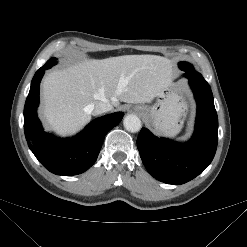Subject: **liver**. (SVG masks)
Instances as JSON below:
<instances>
[{
    "instance_id": "liver-1",
    "label": "liver",
    "mask_w": 247,
    "mask_h": 247,
    "mask_svg": "<svg viewBox=\"0 0 247 247\" xmlns=\"http://www.w3.org/2000/svg\"><path fill=\"white\" fill-rule=\"evenodd\" d=\"M171 61L157 55L89 59L50 72L42 84V116L61 136L78 132L91 119L89 104L150 103L170 82Z\"/></svg>"
}]
</instances>
